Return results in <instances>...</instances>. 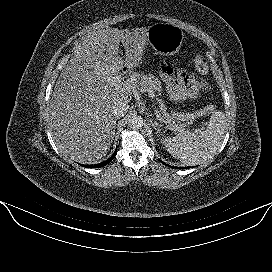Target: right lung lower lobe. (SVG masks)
I'll return each instance as SVG.
<instances>
[{"instance_id": "1", "label": "right lung lower lobe", "mask_w": 272, "mask_h": 272, "mask_svg": "<svg viewBox=\"0 0 272 272\" xmlns=\"http://www.w3.org/2000/svg\"><path fill=\"white\" fill-rule=\"evenodd\" d=\"M116 152H117V149H116L115 153L108 160H106L105 162H102L100 164H95V165H87L86 167H88V168H99V167H103V166L109 164L114 159V157L116 155Z\"/></svg>"}]
</instances>
